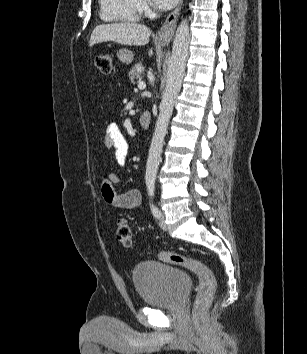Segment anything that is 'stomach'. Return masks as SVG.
I'll return each instance as SVG.
<instances>
[{
  "label": "stomach",
  "instance_id": "stomach-1",
  "mask_svg": "<svg viewBox=\"0 0 307 354\" xmlns=\"http://www.w3.org/2000/svg\"><path fill=\"white\" fill-rule=\"evenodd\" d=\"M167 42H168L167 39H159L158 40V43L160 45H165V44H167ZM117 57L121 63L130 64L133 60V53L128 49H120L117 52Z\"/></svg>",
  "mask_w": 307,
  "mask_h": 354
}]
</instances>
